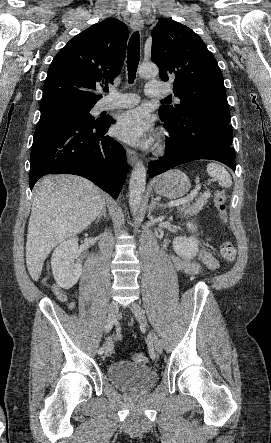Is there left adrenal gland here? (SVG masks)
<instances>
[{
	"mask_svg": "<svg viewBox=\"0 0 271 443\" xmlns=\"http://www.w3.org/2000/svg\"><path fill=\"white\" fill-rule=\"evenodd\" d=\"M155 208H163V206H162V204H159V200H155V198H153V196H151V204H150L149 210H151V212H153V210H155Z\"/></svg>",
	"mask_w": 271,
	"mask_h": 443,
	"instance_id": "left-adrenal-gland-1",
	"label": "left adrenal gland"
}]
</instances>
